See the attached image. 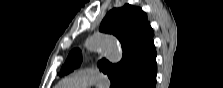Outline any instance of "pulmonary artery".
<instances>
[{"label": "pulmonary artery", "instance_id": "pulmonary-artery-1", "mask_svg": "<svg viewBox=\"0 0 223 88\" xmlns=\"http://www.w3.org/2000/svg\"><path fill=\"white\" fill-rule=\"evenodd\" d=\"M108 84L106 75L93 69H83L68 75L58 85L62 88H82L91 85L107 87Z\"/></svg>", "mask_w": 223, "mask_h": 88}]
</instances>
